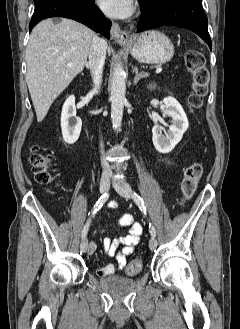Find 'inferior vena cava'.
I'll return each instance as SVG.
<instances>
[{
    "label": "inferior vena cava",
    "mask_w": 240,
    "mask_h": 329,
    "mask_svg": "<svg viewBox=\"0 0 240 329\" xmlns=\"http://www.w3.org/2000/svg\"><path fill=\"white\" fill-rule=\"evenodd\" d=\"M106 49H107V42L99 38L97 36L94 37L90 52H89V62L87 63V67L90 69L92 74V79L94 82V89L93 93H97L100 89V85L102 82V72H103V66L105 63V57H106ZM101 153L103 154V144L101 142ZM101 164L103 168V175L107 176L112 173L111 168L106 161L104 157L101 159Z\"/></svg>",
    "instance_id": "1"
}]
</instances>
